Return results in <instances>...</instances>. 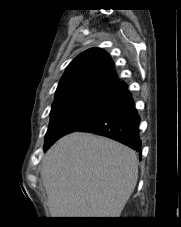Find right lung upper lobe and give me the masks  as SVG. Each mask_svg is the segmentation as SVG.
<instances>
[{
  "label": "right lung upper lobe",
  "instance_id": "obj_1",
  "mask_svg": "<svg viewBox=\"0 0 181 227\" xmlns=\"http://www.w3.org/2000/svg\"><path fill=\"white\" fill-rule=\"evenodd\" d=\"M119 82L110 56L102 49L92 48L78 55L68 65L54 101L81 93L113 91Z\"/></svg>",
  "mask_w": 181,
  "mask_h": 227
}]
</instances>
